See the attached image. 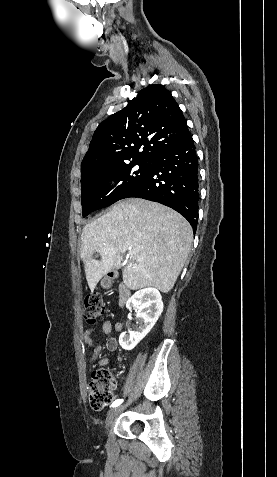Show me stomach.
<instances>
[{
  "label": "stomach",
  "instance_id": "stomach-1",
  "mask_svg": "<svg viewBox=\"0 0 277 477\" xmlns=\"http://www.w3.org/2000/svg\"><path fill=\"white\" fill-rule=\"evenodd\" d=\"M102 286L105 287V288H108L109 285H110V282L107 278H104L101 282Z\"/></svg>",
  "mask_w": 277,
  "mask_h": 477
}]
</instances>
